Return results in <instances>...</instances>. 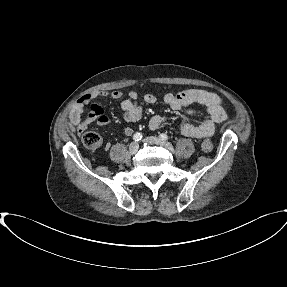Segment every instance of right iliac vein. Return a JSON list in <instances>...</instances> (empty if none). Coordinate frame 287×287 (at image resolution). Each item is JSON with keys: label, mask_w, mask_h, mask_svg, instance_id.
Returning a JSON list of instances; mask_svg holds the SVG:
<instances>
[{"label": "right iliac vein", "mask_w": 287, "mask_h": 287, "mask_svg": "<svg viewBox=\"0 0 287 287\" xmlns=\"http://www.w3.org/2000/svg\"><path fill=\"white\" fill-rule=\"evenodd\" d=\"M139 149V144L137 142H132L130 145H129V152L131 154H135Z\"/></svg>", "instance_id": "1"}]
</instances>
